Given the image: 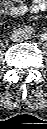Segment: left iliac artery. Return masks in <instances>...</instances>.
<instances>
[{"label":"left iliac artery","mask_w":47,"mask_h":129,"mask_svg":"<svg viewBox=\"0 0 47 129\" xmlns=\"http://www.w3.org/2000/svg\"><path fill=\"white\" fill-rule=\"evenodd\" d=\"M39 37L42 39V40H46L47 39V33H41L39 35Z\"/></svg>","instance_id":"1"}]
</instances>
